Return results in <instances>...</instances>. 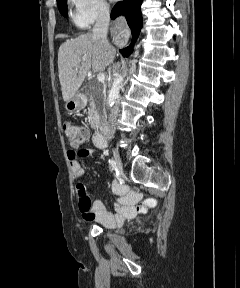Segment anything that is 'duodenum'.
Listing matches in <instances>:
<instances>
[{
	"mask_svg": "<svg viewBox=\"0 0 240 288\" xmlns=\"http://www.w3.org/2000/svg\"><path fill=\"white\" fill-rule=\"evenodd\" d=\"M93 125L97 128H102L103 127V119L101 116L99 115H94L93 119H92ZM94 141L95 144L99 147V148H105L107 145V141L106 138L104 136V134L101 131H98L95 136H94Z\"/></svg>",
	"mask_w": 240,
	"mask_h": 288,
	"instance_id": "duodenum-1",
	"label": "duodenum"
}]
</instances>
